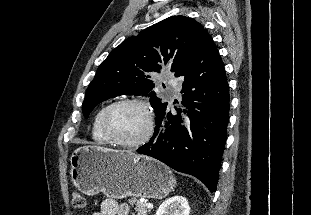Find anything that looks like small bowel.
<instances>
[{
    "instance_id": "obj_1",
    "label": "small bowel",
    "mask_w": 311,
    "mask_h": 215,
    "mask_svg": "<svg viewBox=\"0 0 311 215\" xmlns=\"http://www.w3.org/2000/svg\"><path fill=\"white\" fill-rule=\"evenodd\" d=\"M91 215H129V206L113 199H106L102 202L100 210Z\"/></svg>"
}]
</instances>
